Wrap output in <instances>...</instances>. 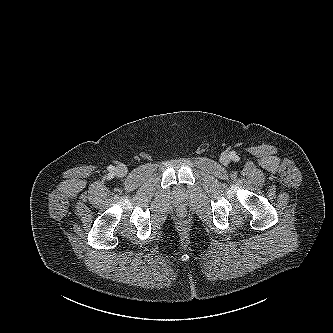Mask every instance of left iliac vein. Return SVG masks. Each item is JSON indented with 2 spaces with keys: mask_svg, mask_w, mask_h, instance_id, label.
I'll use <instances>...</instances> for the list:
<instances>
[{
  "mask_svg": "<svg viewBox=\"0 0 333 333\" xmlns=\"http://www.w3.org/2000/svg\"><path fill=\"white\" fill-rule=\"evenodd\" d=\"M220 161L222 164L226 165L229 163L230 161V158L229 156L225 153V154H222L221 158H220Z\"/></svg>",
  "mask_w": 333,
  "mask_h": 333,
  "instance_id": "4c4485c4",
  "label": "left iliac vein"
}]
</instances>
